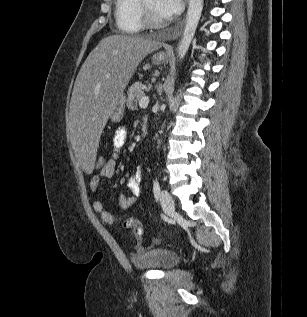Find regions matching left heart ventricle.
Here are the masks:
<instances>
[{
    "mask_svg": "<svg viewBox=\"0 0 307 317\" xmlns=\"http://www.w3.org/2000/svg\"><path fill=\"white\" fill-rule=\"evenodd\" d=\"M146 4H147V6L150 8L151 12L153 13V15H154L156 18H158V19H160V20H163V19H164V17L161 16V15L158 13L157 9H156V0H146Z\"/></svg>",
    "mask_w": 307,
    "mask_h": 317,
    "instance_id": "1",
    "label": "left heart ventricle"
}]
</instances>
